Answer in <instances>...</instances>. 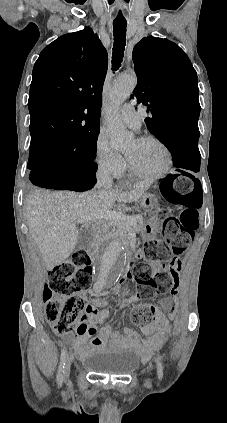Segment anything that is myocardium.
<instances>
[{"label": "myocardium", "instance_id": "1", "mask_svg": "<svg viewBox=\"0 0 227 423\" xmlns=\"http://www.w3.org/2000/svg\"><path fill=\"white\" fill-rule=\"evenodd\" d=\"M136 141L140 142V143L154 142V143L158 144L163 149V151L165 152L166 159H165L164 165L157 172L143 173V172L138 171L136 169V167L134 166L132 160L128 156H126L127 160H128L130 172L133 175H135L139 178L146 179V180H157V179L165 176L170 171V169L172 168V165H173V153H172L169 145L163 139H161L160 137L155 136V135H144V136L137 138Z\"/></svg>", "mask_w": 227, "mask_h": 423}]
</instances>
